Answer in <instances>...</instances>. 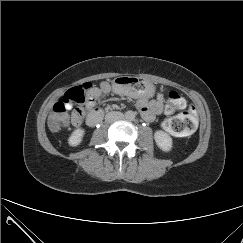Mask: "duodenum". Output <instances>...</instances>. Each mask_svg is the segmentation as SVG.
Segmentation results:
<instances>
[{
  "instance_id": "410a0bca",
  "label": "duodenum",
  "mask_w": 243,
  "mask_h": 243,
  "mask_svg": "<svg viewBox=\"0 0 243 243\" xmlns=\"http://www.w3.org/2000/svg\"><path fill=\"white\" fill-rule=\"evenodd\" d=\"M103 116L104 111L102 109H95L88 115L87 124L89 126H96L98 123L101 122Z\"/></svg>"
}]
</instances>
